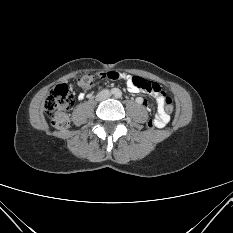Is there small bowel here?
<instances>
[{
  "mask_svg": "<svg viewBox=\"0 0 233 233\" xmlns=\"http://www.w3.org/2000/svg\"><path fill=\"white\" fill-rule=\"evenodd\" d=\"M98 79H111V80L121 79V80H124L126 82L128 90L130 92L138 93L141 91V89L134 86V84L132 82V76L120 74L119 71H108L106 74L104 72H99ZM155 96L157 99V113L155 116V121H156L155 127L163 128L168 124L170 117H169L168 113L165 111L164 97L162 95H155ZM84 97H85L84 93H81L79 95L80 100H82ZM137 103L142 104L147 108L149 107L148 101L143 99L142 97L137 98Z\"/></svg>",
  "mask_w": 233,
  "mask_h": 233,
  "instance_id": "small-bowel-1",
  "label": "small bowel"
}]
</instances>
